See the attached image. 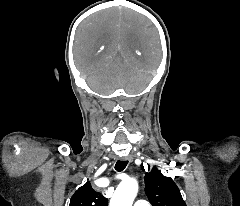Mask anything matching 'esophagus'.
Here are the masks:
<instances>
[{
	"label": "esophagus",
	"mask_w": 240,
	"mask_h": 206,
	"mask_svg": "<svg viewBox=\"0 0 240 206\" xmlns=\"http://www.w3.org/2000/svg\"><path fill=\"white\" fill-rule=\"evenodd\" d=\"M120 160H121V161L131 162V161H132V158H131V157H121Z\"/></svg>",
	"instance_id": "obj_1"
}]
</instances>
